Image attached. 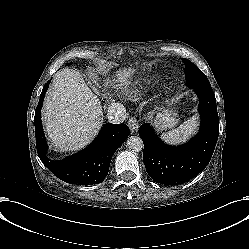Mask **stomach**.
I'll list each match as a JSON object with an SVG mask.
<instances>
[{"instance_id": "1", "label": "stomach", "mask_w": 249, "mask_h": 249, "mask_svg": "<svg viewBox=\"0 0 249 249\" xmlns=\"http://www.w3.org/2000/svg\"><path fill=\"white\" fill-rule=\"evenodd\" d=\"M179 115L173 110H165L158 113L154 120V125L158 131L175 128L179 123Z\"/></svg>"}]
</instances>
